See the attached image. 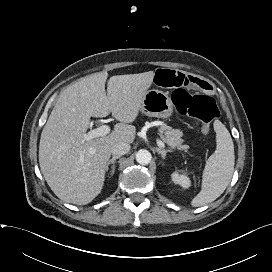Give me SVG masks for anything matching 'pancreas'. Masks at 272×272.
I'll return each instance as SVG.
<instances>
[{"instance_id": "pancreas-1", "label": "pancreas", "mask_w": 272, "mask_h": 272, "mask_svg": "<svg viewBox=\"0 0 272 272\" xmlns=\"http://www.w3.org/2000/svg\"><path fill=\"white\" fill-rule=\"evenodd\" d=\"M159 132L162 140L172 149L177 148L180 151L188 152L189 146L183 144L184 140L182 139V131L163 125L160 127Z\"/></svg>"}]
</instances>
